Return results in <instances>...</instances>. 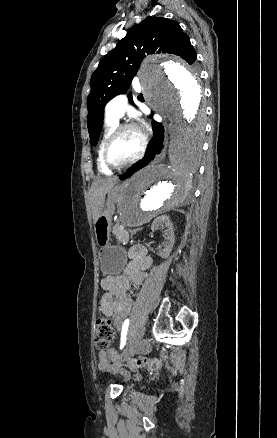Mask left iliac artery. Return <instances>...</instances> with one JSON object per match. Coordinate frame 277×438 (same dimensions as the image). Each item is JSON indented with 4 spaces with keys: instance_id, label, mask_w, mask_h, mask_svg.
Returning <instances> with one entry per match:
<instances>
[{
    "instance_id": "44dca946",
    "label": "left iliac artery",
    "mask_w": 277,
    "mask_h": 438,
    "mask_svg": "<svg viewBox=\"0 0 277 438\" xmlns=\"http://www.w3.org/2000/svg\"><path fill=\"white\" fill-rule=\"evenodd\" d=\"M129 322H130V320L126 319L122 325L120 350L123 349L125 344H126L127 330H128Z\"/></svg>"
}]
</instances>
